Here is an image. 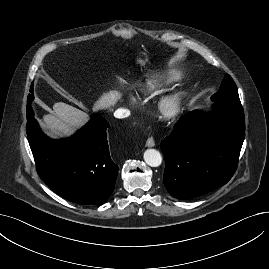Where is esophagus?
<instances>
[{
  "label": "esophagus",
  "instance_id": "34e87169",
  "mask_svg": "<svg viewBox=\"0 0 269 269\" xmlns=\"http://www.w3.org/2000/svg\"><path fill=\"white\" fill-rule=\"evenodd\" d=\"M146 146L147 147H154L155 146V142H154V139L152 137L147 139Z\"/></svg>",
  "mask_w": 269,
  "mask_h": 269
}]
</instances>
